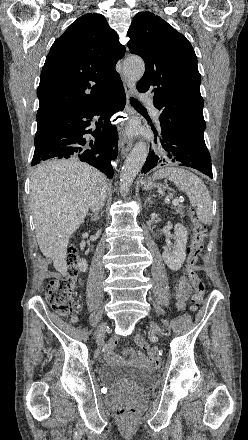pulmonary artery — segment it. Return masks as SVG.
<instances>
[{
    "label": "pulmonary artery",
    "instance_id": "obj_1",
    "mask_svg": "<svg viewBox=\"0 0 248 440\" xmlns=\"http://www.w3.org/2000/svg\"><path fill=\"white\" fill-rule=\"evenodd\" d=\"M146 101H147V103H148L149 105H152L150 101H148V100H146ZM154 117H155V119L158 121L159 113H158V111H156V110L154 111Z\"/></svg>",
    "mask_w": 248,
    "mask_h": 440
}]
</instances>
